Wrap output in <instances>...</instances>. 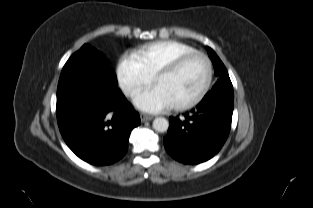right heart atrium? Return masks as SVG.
Returning a JSON list of instances; mask_svg holds the SVG:
<instances>
[{
	"mask_svg": "<svg viewBox=\"0 0 313 208\" xmlns=\"http://www.w3.org/2000/svg\"><path fill=\"white\" fill-rule=\"evenodd\" d=\"M117 79L120 88L127 96L154 81V75L149 72L135 54L123 56L117 65Z\"/></svg>",
	"mask_w": 313,
	"mask_h": 208,
	"instance_id": "d8ad5b80",
	"label": "right heart atrium"
}]
</instances>
